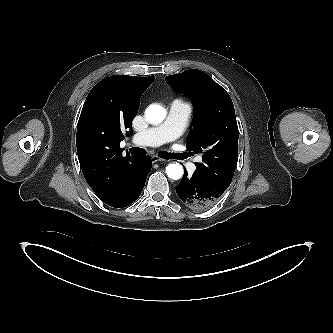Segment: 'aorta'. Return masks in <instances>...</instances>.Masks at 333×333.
Listing matches in <instances>:
<instances>
[{
    "mask_svg": "<svg viewBox=\"0 0 333 333\" xmlns=\"http://www.w3.org/2000/svg\"><path fill=\"white\" fill-rule=\"evenodd\" d=\"M145 116L150 123L159 124L165 119L166 110L160 105L152 104L146 109ZM166 173L169 178L178 180L183 175V167L179 163L169 164Z\"/></svg>",
    "mask_w": 333,
    "mask_h": 333,
    "instance_id": "obj_1",
    "label": "aorta"
}]
</instances>
